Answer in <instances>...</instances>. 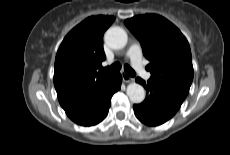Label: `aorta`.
Wrapping results in <instances>:
<instances>
[{
	"label": "aorta",
	"instance_id": "762f6f07",
	"mask_svg": "<svg viewBox=\"0 0 230 155\" xmlns=\"http://www.w3.org/2000/svg\"><path fill=\"white\" fill-rule=\"evenodd\" d=\"M104 38L107 45L112 49H122L127 44V33L121 27L109 28ZM126 94L133 103H141L145 99V90L138 83L129 84Z\"/></svg>",
	"mask_w": 230,
	"mask_h": 155
}]
</instances>
